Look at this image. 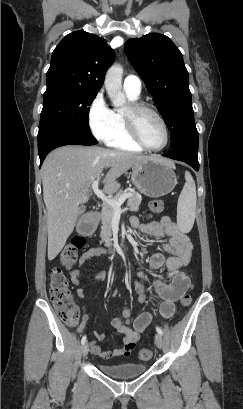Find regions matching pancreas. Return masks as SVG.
Segmentation results:
<instances>
[{
  "label": "pancreas",
  "instance_id": "obj_1",
  "mask_svg": "<svg viewBox=\"0 0 243 409\" xmlns=\"http://www.w3.org/2000/svg\"><path fill=\"white\" fill-rule=\"evenodd\" d=\"M126 193H131L132 196L129 197L127 201V205L130 209V211H138L139 206L142 201V197L139 194L128 192V191H119L113 199L118 200L122 195ZM114 209L113 207L109 206L108 204L104 203L102 206V211H101V221H102V226H101V233L100 237L102 238V241L105 242L106 244H110L112 239V217L114 215Z\"/></svg>",
  "mask_w": 243,
  "mask_h": 409
}]
</instances>
